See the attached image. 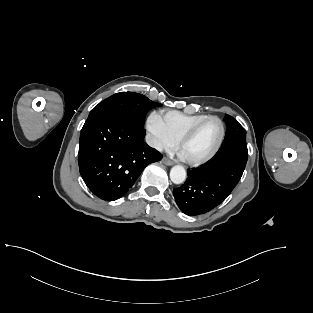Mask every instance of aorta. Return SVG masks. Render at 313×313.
I'll list each match as a JSON object with an SVG mask.
<instances>
[{
	"label": "aorta",
	"mask_w": 313,
	"mask_h": 313,
	"mask_svg": "<svg viewBox=\"0 0 313 313\" xmlns=\"http://www.w3.org/2000/svg\"><path fill=\"white\" fill-rule=\"evenodd\" d=\"M186 170L181 165H176L170 170V179L174 184H181L186 179Z\"/></svg>",
	"instance_id": "obj_1"
}]
</instances>
